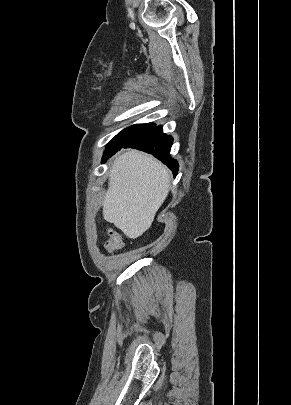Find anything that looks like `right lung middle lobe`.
Returning a JSON list of instances; mask_svg holds the SVG:
<instances>
[{"mask_svg":"<svg viewBox=\"0 0 291 405\" xmlns=\"http://www.w3.org/2000/svg\"><path fill=\"white\" fill-rule=\"evenodd\" d=\"M154 126L155 124L147 123V124L133 125L124 129L108 143L106 151L104 152L103 160H106L118 149H120L123 145L134 140L135 138L145 133Z\"/></svg>","mask_w":291,"mask_h":405,"instance_id":"dd1d6c3e","label":"right lung middle lobe"}]
</instances>
